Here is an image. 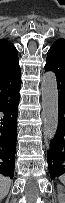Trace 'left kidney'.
<instances>
[{
  "instance_id": "5707ae66",
  "label": "left kidney",
  "mask_w": 65,
  "mask_h": 203,
  "mask_svg": "<svg viewBox=\"0 0 65 203\" xmlns=\"http://www.w3.org/2000/svg\"><path fill=\"white\" fill-rule=\"evenodd\" d=\"M58 201L59 203H65V193L64 188L62 186H58Z\"/></svg>"
}]
</instances>
